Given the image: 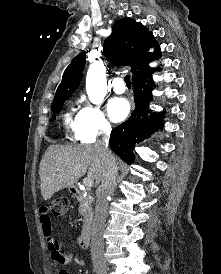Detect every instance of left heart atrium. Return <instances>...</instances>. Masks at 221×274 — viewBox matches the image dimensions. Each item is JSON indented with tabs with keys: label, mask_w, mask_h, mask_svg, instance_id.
Here are the masks:
<instances>
[{
	"label": "left heart atrium",
	"mask_w": 221,
	"mask_h": 274,
	"mask_svg": "<svg viewBox=\"0 0 221 274\" xmlns=\"http://www.w3.org/2000/svg\"><path fill=\"white\" fill-rule=\"evenodd\" d=\"M107 113L113 122L124 120L130 113V103L122 97H114L107 104Z\"/></svg>",
	"instance_id": "obj_1"
}]
</instances>
